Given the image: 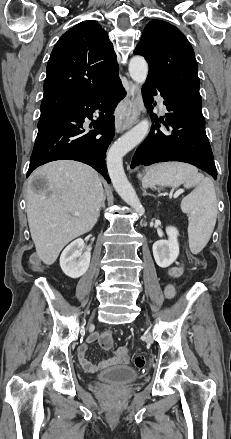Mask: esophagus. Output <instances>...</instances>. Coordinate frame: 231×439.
Wrapping results in <instances>:
<instances>
[{"mask_svg":"<svg viewBox=\"0 0 231 439\" xmlns=\"http://www.w3.org/2000/svg\"><path fill=\"white\" fill-rule=\"evenodd\" d=\"M141 107V91L139 86L129 83V92L126 98V111L123 119L116 122L117 132H122L133 126L139 117Z\"/></svg>","mask_w":231,"mask_h":439,"instance_id":"obj_1","label":"esophagus"}]
</instances>
